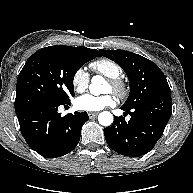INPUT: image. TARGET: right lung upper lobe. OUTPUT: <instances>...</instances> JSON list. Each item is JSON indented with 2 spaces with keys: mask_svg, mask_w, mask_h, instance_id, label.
Masks as SVG:
<instances>
[{
  "mask_svg": "<svg viewBox=\"0 0 193 193\" xmlns=\"http://www.w3.org/2000/svg\"><path fill=\"white\" fill-rule=\"evenodd\" d=\"M42 49H61V50H69V51H73L76 53H80V54H85V55H90L95 57H99L101 56V53L96 50V49H89L86 47H70V46H65V45H55V46H50V47H45Z\"/></svg>",
  "mask_w": 193,
  "mask_h": 193,
  "instance_id": "1",
  "label": "right lung upper lobe"
}]
</instances>
